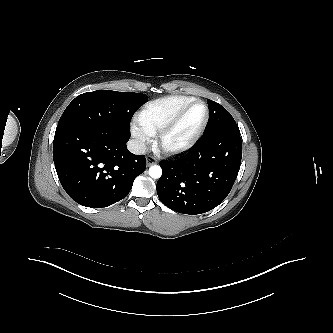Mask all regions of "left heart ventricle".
I'll list each match as a JSON object with an SVG mask.
<instances>
[{
	"instance_id": "b2bd125f",
	"label": "left heart ventricle",
	"mask_w": 333,
	"mask_h": 333,
	"mask_svg": "<svg viewBox=\"0 0 333 333\" xmlns=\"http://www.w3.org/2000/svg\"><path fill=\"white\" fill-rule=\"evenodd\" d=\"M205 116V108L198 104L192 107L185 115L178 127L168 138L169 144H179L185 141L200 125Z\"/></svg>"
}]
</instances>
